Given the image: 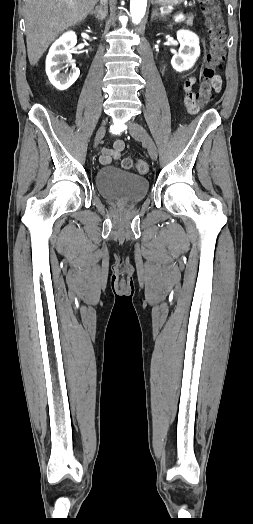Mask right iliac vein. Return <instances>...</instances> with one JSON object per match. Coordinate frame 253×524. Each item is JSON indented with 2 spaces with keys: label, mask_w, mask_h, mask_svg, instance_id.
Masks as SVG:
<instances>
[{
  "label": "right iliac vein",
  "mask_w": 253,
  "mask_h": 524,
  "mask_svg": "<svg viewBox=\"0 0 253 524\" xmlns=\"http://www.w3.org/2000/svg\"><path fill=\"white\" fill-rule=\"evenodd\" d=\"M105 124L101 125V127L97 130L94 146L97 147L100 143L101 139L105 136Z\"/></svg>",
  "instance_id": "63e3f726"
}]
</instances>
